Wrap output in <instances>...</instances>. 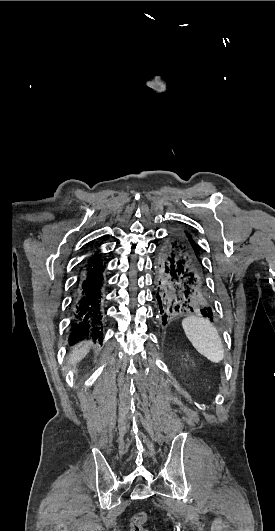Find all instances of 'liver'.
<instances>
[{"mask_svg": "<svg viewBox=\"0 0 275 531\" xmlns=\"http://www.w3.org/2000/svg\"><path fill=\"white\" fill-rule=\"evenodd\" d=\"M87 353H89V345H87V343H79V345L73 347V351H71V355H69L70 365H76V363L82 361Z\"/></svg>", "mask_w": 275, "mask_h": 531, "instance_id": "liver-1", "label": "liver"}]
</instances>
